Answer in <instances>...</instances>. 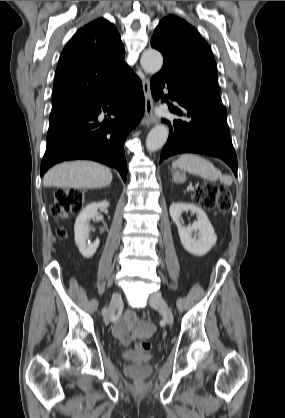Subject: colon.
I'll return each instance as SVG.
<instances>
[{
    "mask_svg": "<svg viewBox=\"0 0 285 418\" xmlns=\"http://www.w3.org/2000/svg\"><path fill=\"white\" fill-rule=\"evenodd\" d=\"M193 199L207 209H218L222 212L230 210L232 199L230 192L216 184L207 183L198 187L193 192ZM84 201V195L80 190L59 189L55 192V201L51 206V214L54 218H65L72 214L80 212ZM58 236L64 238L66 236L65 229L58 230ZM136 349L146 352L151 349L148 342H138Z\"/></svg>",
    "mask_w": 285,
    "mask_h": 418,
    "instance_id": "5ec220e1",
    "label": "colon"
}]
</instances>
